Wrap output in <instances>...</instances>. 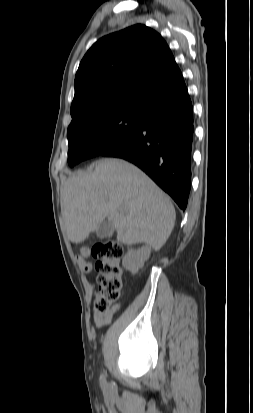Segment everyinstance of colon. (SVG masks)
Wrapping results in <instances>:
<instances>
[{
  "mask_svg": "<svg viewBox=\"0 0 253 413\" xmlns=\"http://www.w3.org/2000/svg\"><path fill=\"white\" fill-rule=\"evenodd\" d=\"M91 253L97 259L96 270L98 291L94 302L95 314H106L112 306L120 301L123 290V269L120 259L122 246L112 239L97 243Z\"/></svg>",
  "mask_w": 253,
  "mask_h": 413,
  "instance_id": "obj_1",
  "label": "colon"
}]
</instances>
